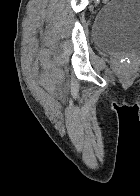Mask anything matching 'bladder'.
<instances>
[{
    "mask_svg": "<svg viewBox=\"0 0 140 196\" xmlns=\"http://www.w3.org/2000/svg\"><path fill=\"white\" fill-rule=\"evenodd\" d=\"M93 42L105 52L140 54V0H111L96 14Z\"/></svg>",
    "mask_w": 140,
    "mask_h": 196,
    "instance_id": "31cf9c89",
    "label": "bladder"
}]
</instances>
